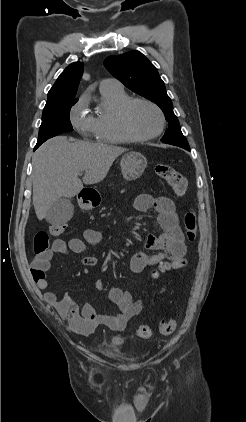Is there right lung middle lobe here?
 I'll use <instances>...</instances> for the list:
<instances>
[{
    "mask_svg": "<svg viewBox=\"0 0 246 422\" xmlns=\"http://www.w3.org/2000/svg\"><path fill=\"white\" fill-rule=\"evenodd\" d=\"M76 102L77 101H66L52 106H45L42 114V123L39 129V138L35 149L47 139L73 130L69 114L71 107Z\"/></svg>",
    "mask_w": 246,
    "mask_h": 422,
    "instance_id": "right-lung-middle-lobe-1",
    "label": "right lung middle lobe"
}]
</instances>
